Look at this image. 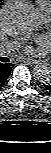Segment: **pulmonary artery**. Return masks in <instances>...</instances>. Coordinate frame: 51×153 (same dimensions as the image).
I'll list each match as a JSON object with an SVG mask.
<instances>
[{"label":"pulmonary artery","mask_w":51,"mask_h":153,"mask_svg":"<svg viewBox=\"0 0 51 153\" xmlns=\"http://www.w3.org/2000/svg\"><path fill=\"white\" fill-rule=\"evenodd\" d=\"M51 7L50 5H43L36 10V24L39 26L45 25L50 21ZM18 46L17 43H6L1 46V52H9Z\"/></svg>","instance_id":"e3ab8cb5"}]
</instances>
